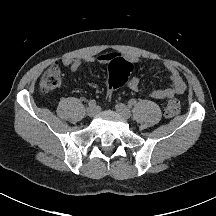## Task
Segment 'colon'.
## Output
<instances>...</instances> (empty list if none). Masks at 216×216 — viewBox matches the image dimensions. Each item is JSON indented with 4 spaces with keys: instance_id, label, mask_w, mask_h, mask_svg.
Masks as SVG:
<instances>
[{
    "instance_id": "5ec220e1",
    "label": "colon",
    "mask_w": 216,
    "mask_h": 216,
    "mask_svg": "<svg viewBox=\"0 0 216 216\" xmlns=\"http://www.w3.org/2000/svg\"><path fill=\"white\" fill-rule=\"evenodd\" d=\"M133 69V65L127 61L121 60L113 63L110 66L108 73V98L110 99L114 91L123 86ZM61 84V71L58 67L53 66L49 68L40 79V89L43 92H49ZM181 109V103L177 98H171L167 101L165 107V115L167 117H173L179 113Z\"/></svg>"
}]
</instances>
